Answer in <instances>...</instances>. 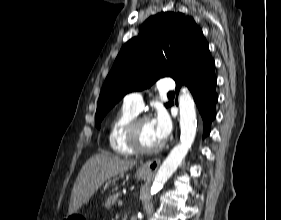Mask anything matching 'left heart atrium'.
<instances>
[{
	"mask_svg": "<svg viewBox=\"0 0 281 220\" xmlns=\"http://www.w3.org/2000/svg\"><path fill=\"white\" fill-rule=\"evenodd\" d=\"M156 135L158 139L163 142L171 132V121L167 114L159 111L155 118L152 120Z\"/></svg>",
	"mask_w": 281,
	"mask_h": 220,
	"instance_id": "obj_1",
	"label": "left heart atrium"
}]
</instances>
